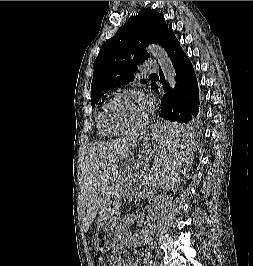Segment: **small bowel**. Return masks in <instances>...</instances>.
<instances>
[{
    "label": "small bowel",
    "mask_w": 253,
    "mask_h": 266,
    "mask_svg": "<svg viewBox=\"0 0 253 266\" xmlns=\"http://www.w3.org/2000/svg\"><path fill=\"white\" fill-rule=\"evenodd\" d=\"M110 260H116L118 263L117 266H138V264L135 263L134 261L131 260L124 261L114 256L110 257L108 261ZM151 260H152L151 255L147 254L144 256V261L146 266H151Z\"/></svg>",
    "instance_id": "obj_1"
}]
</instances>
